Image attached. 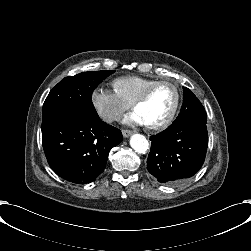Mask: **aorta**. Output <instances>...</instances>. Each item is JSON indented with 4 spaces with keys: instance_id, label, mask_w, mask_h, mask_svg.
I'll return each instance as SVG.
<instances>
[{
    "instance_id": "obj_1",
    "label": "aorta",
    "mask_w": 251,
    "mask_h": 251,
    "mask_svg": "<svg viewBox=\"0 0 251 251\" xmlns=\"http://www.w3.org/2000/svg\"><path fill=\"white\" fill-rule=\"evenodd\" d=\"M130 146L139 154H145L149 148L147 139L141 134H134L130 138Z\"/></svg>"
}]
</instances>
